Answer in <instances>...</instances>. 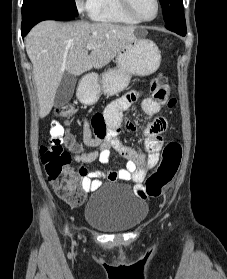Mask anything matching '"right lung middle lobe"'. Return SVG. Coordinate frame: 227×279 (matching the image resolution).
I'll list each match as a JSON object with an SVG mask.
<instances>
[{"label":"right lung middle lobe","mask_w":227,"mask_h":279,"mask_svg":"<svg viewBox=\"0 0 227 279\" xmlns=\"http://www.w3.org/2000/svg\"><path fill=\"white\" fill-rule=\"evenodd\" d=\"M40 3H46L51 6L57 7L61 11L75 17L78 15L75 0H23L22 15H25L35 5Z\"/></svg>","instance_id":"right-lung-middle-lobe-1"}]
</instances>
